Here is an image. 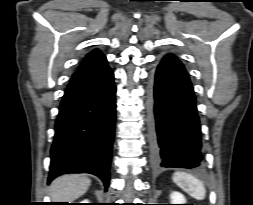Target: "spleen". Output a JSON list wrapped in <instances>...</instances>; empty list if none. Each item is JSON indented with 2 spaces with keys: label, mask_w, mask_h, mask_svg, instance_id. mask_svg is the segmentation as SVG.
<instances>
[{
  "label": "spleen",
  "mask_w": 253,
  "mask_h": 205,
  "mask_svg": "<svg viewBox=\"0 0 253 205\" xmlns=\"http://www.w3.org/2000/svg\"><path fill=\"white\" fill-rule=\"evenodd\" d=\"M173 181L193 198L197 200L205 198L206 190L203 182L195 176L185 172H176L173 175Z\"/></svg>",
  "instance_id": "spleen-1"
}]
</instances>
